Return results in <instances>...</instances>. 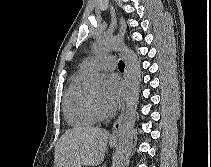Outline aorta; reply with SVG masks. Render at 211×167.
Listing matches in <instances>:
<instances>
[{
	"label": "aorta",
	"mask_w": 211,
	"mask_h": 167,
	"mask_svg": "<svg viewBox=\"0 0 211 167\" xmlns=\"http://www.w3.org/2000/svg\"><path fill=\"white\" fill-rule=\"evenodd\" d=\"M111 51H122L128 71L129 91L126 98V111L123 120L119 149L113 167H127L132 151L134 125L136 120L140 83L141 65L137 55L129 49L120 39L114 36H100L94 44V52L103 54ZM92 83L96 88L106 84V77L95 74Z\"/></svg>",
	"instance_id": "1"
}]
</instances>
